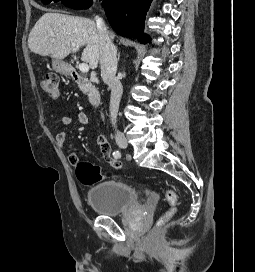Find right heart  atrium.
Segmentation results:
<instances>
[{
	"label": "right heart atrium",
	"instance_id": "obj_1",
	"mask_svg": "<svg viewBox=\"0 0 255 272\" xmlns=\"http://www.w3.org/2000/svg\"><path fill=\"white\" fill-rule=\"evenodd\" d=\"M88 1H90V0H81V3H86V2H88ZM92 2H95L96 0H91Z\"/></svg>",
	"mask_w": 255,
	"mask_h": 272
}]
</instances>
